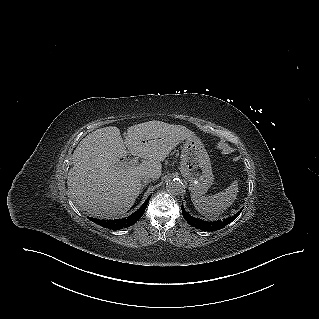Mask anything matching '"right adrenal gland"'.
<instances>
[{
	"label": "right adrenal gland",
	"mask_w": 319,
	"mask_h": 319,
	"mask_svg": "<svg viewBox=\"0 0 319 319\" xmlns=\"http://www.w3.org/2000/svg\"><path fill=\"white\" fill-rule=\"evenodd\" d=\"M148 183H149L148 181H144V182L142 183L141 190H140V194L143 192L144 187H145Z\"/></svg>",
	"instance_id": "1"
}]
</instances>
